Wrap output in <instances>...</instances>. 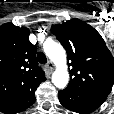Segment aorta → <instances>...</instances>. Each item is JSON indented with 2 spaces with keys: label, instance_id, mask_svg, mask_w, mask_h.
<instances>
[{
  "label": "aorta",
  "instance_id": "1",
  "mask_svg": "<svg viewBox=\"0 0 114 114\" xmlns=\"http://www.w3.org/2000/svg\"><path fill=\"white\" fill-rule=\"evenodd\" d=\"M44 51L56 65V70L52 75L53 84L59 89L65 88L69 81V73L64 48L60 44L50 41L44 44Z\"/></svg>",
  "mask_w": 114,
  "mask_h": 114
}]
</instances>
